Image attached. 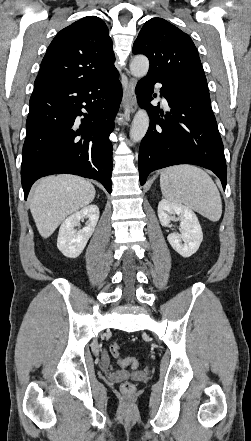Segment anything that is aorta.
I'll return each instance as SVG.
<instances>
[{"label":"aorta","mask_w":251,"mask_h":441,"mask_svg":"<svg viewBox=\"0 0 251 441\" xmlns=\"http://www.w3.org/2000/svg\"><path fill=\"white\" fill-rule=\"evenodd\" d=\"M149 69V60L146 56H135L130 63L131 74L135 77H144ZM149 127V116L146 110L140 109L135 114L131 128L130 138L136 143L142 140Z\"/></svg>","instance_id":"aorta-1"}]
</instances>
